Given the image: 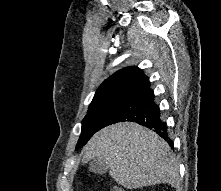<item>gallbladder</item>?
<instances>
[{
    "label": "gallbladder",
    "mask_w": 221,
    "mask_h": 191,
    "mask_svg": "<svg viewBox=\"0 0 221 191\" xmlns=\"http://www.w3.org/2000/svg\"><path fill=\"white\" fill-rule=\"evenodd\" d=\"M89 170L93 173L103 175L108 171V165L104 160L94 158L89 164Z\"/></svg>",
    "instance_id": "1"
}]
</instances>
